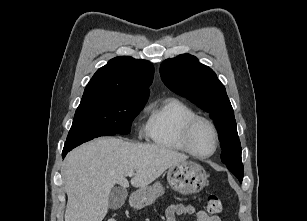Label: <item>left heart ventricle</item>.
<instances>
[{"label": "left heart ventricle", "instance_id": "b2bd125f", "mask_svg": "<svg viewBox=\"0 0 307 221\" xmlns=\"http://www.w3.org/2000/svg\"><path fill=\"white\" fill-rule=\"evenodd\" d=\"M193 149L200 154H208L214 148V135L210 127L200 122L198 123L190 136Z\"/></svg>", "mask_w": 307, "mask_h": 221}]
</instances>
